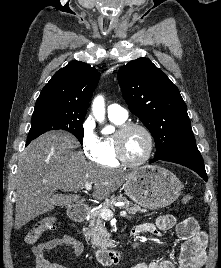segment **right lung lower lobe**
<instances>
[{"mask_svg": "<svg viewBox=\"0 0 221 268\" xmlns=\"http://www.w3.org/2000/svg\"><path fill=\"white\" fill-rule=\"evenodd\" d=\"M33 139H27L26 145H28Z\"/></svg>", "mask_w": 221, "mask_h": 268, "instance_id": "right-lung-lower-lobe-1", "label": "right lung lower lobe"}]
</instances>
